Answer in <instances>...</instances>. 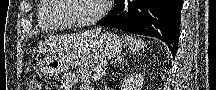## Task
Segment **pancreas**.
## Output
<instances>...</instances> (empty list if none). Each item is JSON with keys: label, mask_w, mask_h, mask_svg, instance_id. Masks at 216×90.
Returning <instances> with one entry per match:
<instances>
[{"label": "pancreas", "mask_w": 216, "mask_h": 90, "mask_svg": "<svg viewBox=\"0 0 216 90\" xmlns=\"http://www.w3.org/2000/svg\"><path fill=\"white\" fill-rule=\"evenodd\" d=\"M94 72H99V67H88V70H81L77 74H79L82 82H90V80H93V76H95Z\"/></svg>", "instance_id": "obj_1"}]
</instances>
